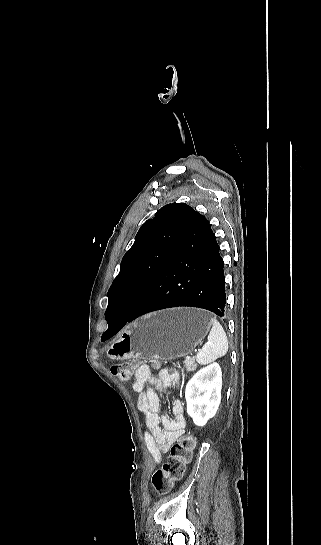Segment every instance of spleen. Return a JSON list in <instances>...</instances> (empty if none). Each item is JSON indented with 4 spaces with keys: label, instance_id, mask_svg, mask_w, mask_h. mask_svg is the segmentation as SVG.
<instances>
[{
    "label": "spleen",
    "instance_id": "obj_1",
    "mask_svg": "<svg viewBox=\"0 0 321 545\" xmlns=\"http://www.w3.org/2000/svg\"><path fill=\"white\" fill-rule=\"evenodd\" d=\"M212 329L207 337L208 341L196 355L199 365H209L216 359L224 357L228 351V339L226 333L217 319H211Z\"/></svg>",
    "mask_w": 321,
    "mask_h": 545
}]
</instances>
